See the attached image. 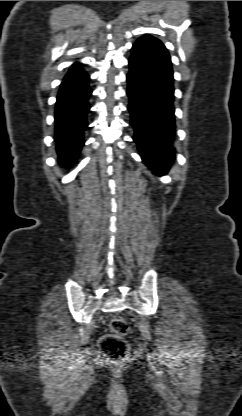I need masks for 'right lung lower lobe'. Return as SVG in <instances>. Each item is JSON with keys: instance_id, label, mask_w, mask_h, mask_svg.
Here are the masks:
<instances>
[{"instance_id": "obj_1", "label": "right lung lower lobe", "mask_w": 242, "mask_h": 416, "mask_svg": "<svg viewBox=\"0 0 242 416\" xmlns=\"http://www.w3.org/2000/svg\"><path fill=\"white\" fill-rule=\"evenodd\" d=\"M89 75L73 67L61 83L55 109V139L59 162L70 167L84 146V130L88 126V99L92 90Z\"/></svg>"}]
</instances>
